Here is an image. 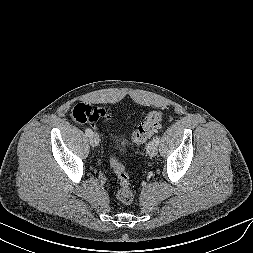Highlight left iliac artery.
<instances>
[{"label":"left iliac artery","mask_w":253,"mask_h":253,"mask_svg":"<svg viewBox=\"0 0 253 253\" xmlns=\"http://www.w3.org/2000/svg\"><path fill=\"white\" fill-rule=\"evenodd\" d=\"M153 142H154L156 145H158V144L160 143V138H159L158 136H155V137L153 138Z\"/></svg>","instance_id":"1"}]
</instances>
